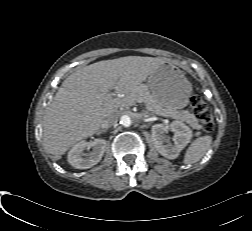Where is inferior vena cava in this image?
Instances as JSON below:
<instances>
[{
	"mask_svg": "<svg viewBox=\"0 0 252 231\" xmlns=\"http://www.w3.org/2000/svg\"><path fill=\"white\" fill-rule=\"evenodd\" d=\"M118 121V115L117 114H110L106 117V119L102 122L101 127L102 128H108L113 125H115Z\"/></svg>",
	"mask_w": 252,
	"mask_h": 231,
	"instance_id": "obj_1",
	"label": "inferior vena cava"
}]
</instances>
